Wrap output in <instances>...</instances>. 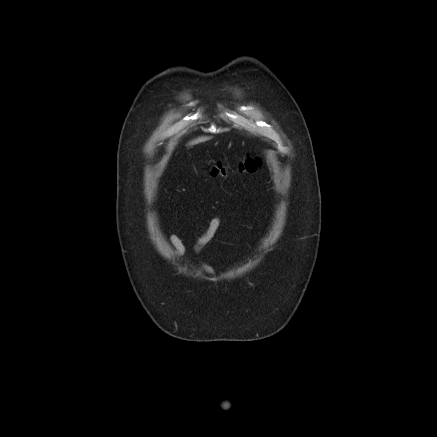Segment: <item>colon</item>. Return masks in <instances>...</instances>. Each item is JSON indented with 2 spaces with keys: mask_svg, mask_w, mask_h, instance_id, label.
I'll list each match as a JSON object with an SVG mask.
<instances>
[{
  "mask_svg": "<svg viewBox=\"0 0 437 437\" xmlns=\"http://www.w3.org/2000/svg\"><path fill=\"white\" fill-rule=\"evenodd\" d=\"M259 166V161L254 157H246L239 162L238 168L240 171L253 172ZM227 173V168L222 164H216L212 167L214 176H224Z\"/></svg>",
  "mask_w": 437,
  "mask_h": 437,
  "instance_id": "1",
  "label": "colon"
}]
</instances>
